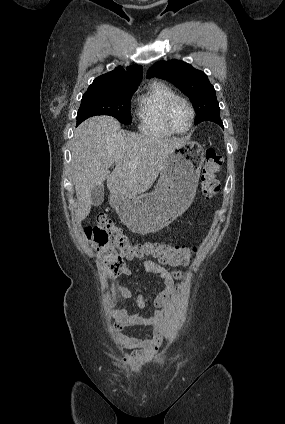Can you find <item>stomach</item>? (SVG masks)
Returning <instances> with one entry per match:
<instances>
[{"label":"stomach","mask_w":285,"mask_h":424,"mask_svg":"<svg viewBox=\"0 0 285 424\" xmlns=\"http://www.w3.org/2000/svg\"><path fill=\"white\" fill-rule=\"evenodd\" d=\"M204 162V150L196 142L176 148L164 164L155 190L132 198L112 195L110 204L133 232L163 229L191 205Z\"/></svg>","instance_id":"stomach-1"}]
</instances>
